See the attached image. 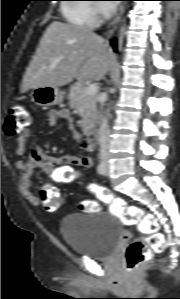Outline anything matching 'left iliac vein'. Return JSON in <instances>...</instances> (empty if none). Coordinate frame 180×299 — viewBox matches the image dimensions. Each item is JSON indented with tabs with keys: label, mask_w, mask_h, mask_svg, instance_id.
Wrapping results in <instances>:
<instances>
[{
	"label": "left iliac vein",
	"mask_w": 180,
	"mask_h": 299,
	"mask_svg": "<svg viewBox=\"0 0 180 299\" xmlns=\"http://www.w3.org/2000/svg\"><path fill=\"white\" fill-rule=\"evenodd\" d=\"M109 173V164L106 162L105 163V174Z\"/></svg>",
	"instance_id": "4c4485c4"
}]
</instances>
